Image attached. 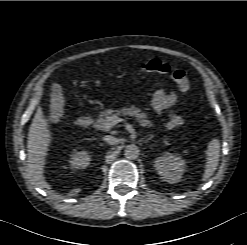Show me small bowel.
Here are the masks:
<instances>
[{
    "label": "small bowel",
    "mask_w": 247,
    "mask_h": 245,
    "mask_svg": "<svg viewBox=\"0 0 247 245\" xmlns=\"http://www.w3.org/2000/svg\"><path fill=\"white\" fill-rule=\"evenodd\" d=\"M177 101V95L175 92H167L163 89L155 91L152 97V108L156 113H161L166 111L170 116L174 113L172 107Z\"/></svg>",
    "instance_id": "c3829d8e"
}]
</instances>
